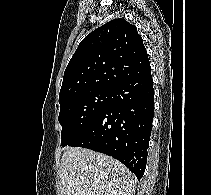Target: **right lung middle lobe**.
I'll list each match as a JSON object with an SVG mask.
<instances>
[{"instance_id":"right-lung-middle-lobe-1","label":"right lung middle lobe","mask_w":211,"mask_h":195,"mask_svg":"<svg viewBox=\"0 0 211 195\" xmlns=\"http://www.w3.org/2000/svg\"><path fill=\"white\" fill-rule=\"evenodd\" d=\"M110 89L99 88L77 93L59 102L62 126L61 146H71L96 120L108 104Z\"/></svg>"}]
</instances>
